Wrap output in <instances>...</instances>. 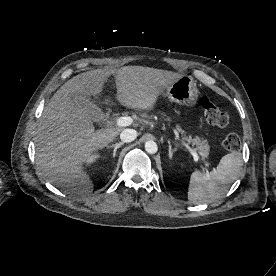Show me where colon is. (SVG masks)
<instances>
[{
    "instance_id": "colon-1",
    "label": "colon",
    "mask_w": 276,
    "mask_h": 276,
    "mask_svg": "<svg viewBox=\"0 0 276 276\" xmlns=\"http://www.w3.org/2000/svg\"><path fill=\"white\" fill-rule=\"evenodd\" d=\"M200 104L204 111L206 121L216 127L224 128L229 124L227 113L219 109L209 98L202 97ZM223 146L226 150L236 152L241 147V140L236 134H228L223 140Z\"/></svg>"
}]
</instances>
